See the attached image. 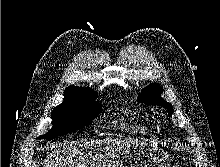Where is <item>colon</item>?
I'll list each match as a JSON object with an SVG mask.
<instances>
[{"label": "colon", "instance_id": "obj_1", "mask_svg": "<svg viewBox=\"0 0 220 167\" xmlns=\"http://www.w3.org/2000/svg\"><path fill=\"white\" fill-rule=\"evenodd\" d=\"M171 167H178V166L174 165V166H171Z\"/></svg>", "mask_w": 220, "mask_h": 167}]
</instances>
